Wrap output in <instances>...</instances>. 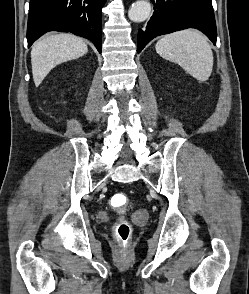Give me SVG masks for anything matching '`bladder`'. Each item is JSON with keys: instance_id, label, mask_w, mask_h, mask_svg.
Returning a JSON list of instances; mask_svg holds the SVG:
<instances>
[{"instance_id": "1", "label": "bladder", "mask_w": 249, "mask_h": 294, "mask_svg": "<svg viewBox=\"0 0 249 294\" xmlns=\"http://www.w3.org/2000/svg\"><path fill=\"white\" fill-rule=\"evenodd\" d=\"M100 219H101L102 221H105V220L107 219V216H106L105 214H101V215H100Z\"/></svg>"}]
</instances>
